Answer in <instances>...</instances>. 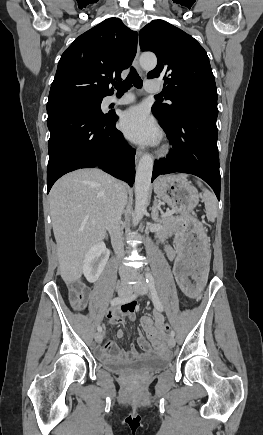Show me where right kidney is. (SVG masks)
Returning a JSON list of instances; mask_svg holds the SVG:
<instances>
[{
  "instance_id": "ca27d5eb",
  "label": "right kidney",
  "mask_w": 263,
  "mask_h": 435,
  "mask_svg": "<svg viewBox=\"0 0 263 435\" xmlns=\"http://www.w3.org/2000/svg\"><path fill=\"white\" fill-rule=\"evenodd\" d=\"M110 252L106 246L98 242L94 244L85 254L83 261V274L88 282H95L103 272Z\"/></svg>"
}]
</instances>
